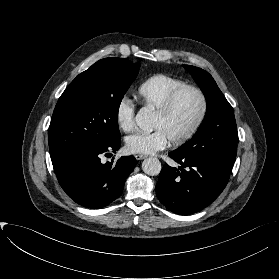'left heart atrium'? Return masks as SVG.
<instances>
[{
	"instance_id": "1",
	"label": "left heart atrium",
	"mask_w": 279,
	"mask_h": 279,
	"mask_svg": "<svg viewBox=\"0 0 279 279\" xmlns=\"http://www.w3.org/2000/svg\"><path fill=\"white\" fill-rule=\"evenodd\" d=\"M169 141L163 130L155 129L152 132H136L128 136L125 147L129 153L153 154L164 149Z\"/></svg>"
}]
</instances>
